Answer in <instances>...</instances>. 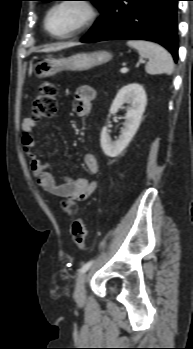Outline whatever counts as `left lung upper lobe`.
Returning <instances> with one entry per match:
<instances>
[{
  "label": "left lung upper lobe",
  "mask_w": 193,
  "mask_h": 349,
  "mask_svg": "<svg viewBox=\"0 0 193 349\" xmlns=\"http://www.w3.org/2000/svg\"><path fill=\"white\" fill-rule=\"evenodd\" d=\"M37 1H44V2H49V1H56V0H37ZM88 1H92L100 11L103 10V8L105 7V4L107 2V0H88Z\"/></svg>",
  "instance_id": "1"
}]
</instances>
